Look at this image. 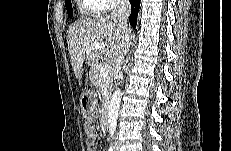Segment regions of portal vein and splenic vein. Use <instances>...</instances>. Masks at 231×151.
Wrapping results in <instances>:
<instances>
[{
  "instance_id": "obj_1",
  "label": "portal vein and splenic vein",
  "mask_w": 231,
  "mask_h": 151,
  "mask_svg": "<svg viewBox=\"0 0 231 151\" xmlns=\"http://www.w3.org/2000/svg\"><path fill=\"white\" fill-rule=\"evenodd\" d=\"M102 47L101 43H94L92 44L89 49H99ZM111 68L108 64H103L99 68V72L103 75H107L110 72Z\"/></svg>"
}]
</instances>
